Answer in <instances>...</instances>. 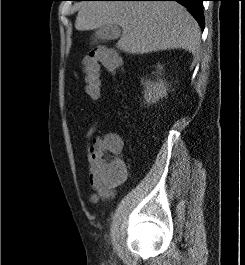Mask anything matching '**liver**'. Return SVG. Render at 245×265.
Here are the masks:
<instances>
[{
    "instance_id": "obj_1",
    "label": "liver",
    "mask_w": 245,
    "mask_h": 265,
    "mask_svg": "<svg viewBox=\"0 0 245 265\" xmlns=\"http://www.w3.org/2000/svg\"><path fill=\"white\" fill-rule=\"evenodd\" d=\"M119 25L117 48L131 54L200 46L198 23L185 7L173 1H85L75 21L78 31Z\"/></svg>"
}]
</instances>
